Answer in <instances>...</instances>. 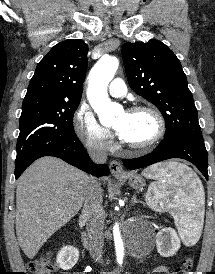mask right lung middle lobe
Wrapping results in <instances>:
<instances>
[{"label":"right lung middle lobe","mask_w":215,"mask_h":274,"mask_svg":"<svg viewBox=\"0 0 215 274\" xmlns=\"http://www.w3.org/2000/svg\"><path fill=\"white\" fill-rule=\"evenodd\" d=\"M79 102L36 100L23 103L16 167L41 150L77 138L73 115Z\"/></svg>","instance_id":"right-lung-middle-lobe-1"}]
</instances>
